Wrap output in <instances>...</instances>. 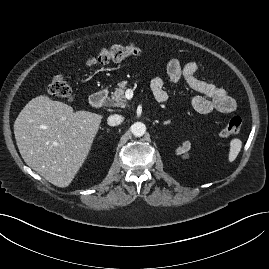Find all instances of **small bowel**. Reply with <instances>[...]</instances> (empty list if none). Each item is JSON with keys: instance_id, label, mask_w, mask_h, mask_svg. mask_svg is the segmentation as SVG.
<instances>
[{"instance_id": "obj_1", "label": "small bowel", "mask_w": 269, "mask_h": 269, "mask_svg": "<svg viewBox=\"0 0 269 269\" xmlns=\"http://www.w3.org/2000/svg\"><path fill=\"white\" fill-rule=\"evenodd\" d=\"M199 65L196 62L182 64L178 59H171L166 65V72L171 82L184 79L188 86L199 95L192 96L190 104L192 108L201 114L213 111L229 114L236 109V102L224 89L203 81L196 76ZM151 89L157 101L163 102L167 98L164 90V81L154 78L151 81Z\"/></svg>"}]
</instances>
